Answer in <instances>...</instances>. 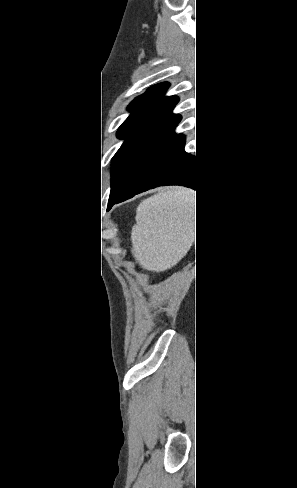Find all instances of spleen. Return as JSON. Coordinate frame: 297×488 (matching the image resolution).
Returning <instances> with one entry per match:
<instances>
[{
  "mask_svg": "<svg viewBox=\"0 0 297 488\" xmlns=\"http://www.w3.org/2000/svg\"><path fill=\"white\" fill-rule=\"evenodd\" d=\"M194 194L175 188L143 200L132 229V252L140 265L152 271L174 266L186 253Z\"/></svg>",
  "mask_w": 297,
  "mask_h": 488,
  "instance_id": "obj_1",
  "label": "spleen"
}]
</instances>
